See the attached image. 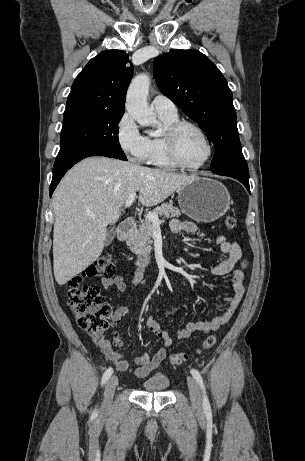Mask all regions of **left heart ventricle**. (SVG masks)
<instances>
[{
  "label": "left heart ventricle",
  "mask_w": 305,
  "mask_h": 461,
  "mask_svg": "<svg viewBox=\"0 0 305 461\" xmlns=\"http://www.w3.org/2000/svg\"><path fill=\"white\" fill-rule=\"evenodd\" d=\"M178 153L189 164H199L207 154L206 145L201 136L192 128H184L178 138Z\"/></svg>",
  "instance_id": "1"
}]
</instances>
